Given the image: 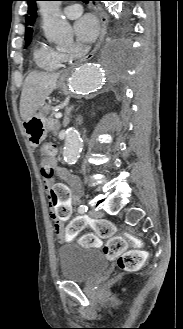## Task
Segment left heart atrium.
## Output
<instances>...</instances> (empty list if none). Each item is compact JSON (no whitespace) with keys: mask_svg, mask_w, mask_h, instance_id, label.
<instances>
[{"mask_svg":"<svg viewBox=\"0 0 183 329\" xmlns=\"http://www.w3.org/2000/svg\"><path fill=\"white\" fill-rule=\"evenodd\" d=\"M74 32L79 42L89 44L93 42L99 32L96 18L90 14L79 18L74 25Z\"/></svg>","mask_w":183,"mask_h":329,"instance_id":"obj_1","label":"left heart atrium"}]
</instances>
